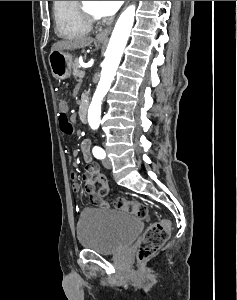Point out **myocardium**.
Here are the masks:
<instances>
[{
	"label": "myocardium",
	"mask_w": 237,
	"mask_h": 300,
	"mask_svg": "<svg viewBox=\"0 0 237 300\" xmlns=\"http://www.w3.org/2000/svg\"><path fill=\"white\" fill-rule=\"evenodd\" d=\"M79 10L83 18L91 25L101 23L104 20L103 16L94 14L90 10H88L83 1H79Z\"/></svg>",
	"instance_id": "obj_1"
}]
</instances>
